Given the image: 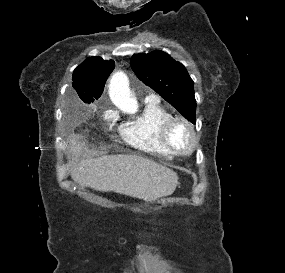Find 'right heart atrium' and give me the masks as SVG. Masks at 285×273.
Listing matches in <instances>:
<instances>
[{
	"label": "right heart atrium",
	"instance_id": "d8ad5b80",
	"mask_svg": "<svg viewBox=\"0 0 285 273\" xmlns=\"http://www.w3.org/2000/svg\"><path fill=\"white\" fill-rule=\"evenodd\" d=\"M112 117H113V113L111 111H108V112L105 113V118L106 119H110Z\"/></svg>",
	"mask_w": 285,
	"mask_h": 273
}]
</instances>
